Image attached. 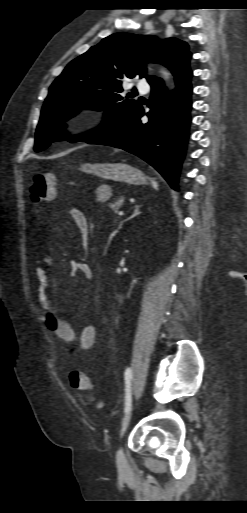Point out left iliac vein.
<instances>
[{
	"mask_svg": "<svg viewBox=\"0 0 247 513\" xmlns=\"http://www.w3.org/2000/svg\"><path fill=\"white\" fill-rule=\"evenodd\" d=\"M132 410H133V408H131L129 410V412L126 414V416L123 419L122 427L120 430V438H122L124 436V434L127 430V427L129 425V422H130V419L132 416ZM116 463H117V467H118V470L120 473H125L128 470V462H127L126 456L124 454V451L121 447L118 449V451L116 453Z\"/></svg>",
	"mask_w": 247,
	"mask_h": 513,
	"instance_id": "1",
	"label": "left iliac vein"
}]
</instances>
